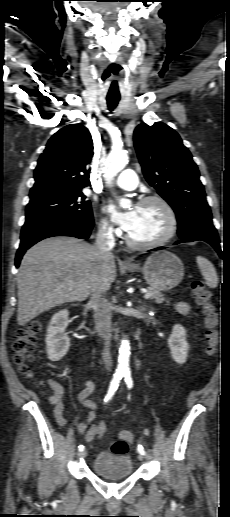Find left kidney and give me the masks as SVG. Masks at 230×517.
<instances>
[{
  "instance_id": "obj_1",
  "label": "left kidney",
  "mask_w": 230,
  "mask_h": 517,
  "mask_svg": "<svg viewBox=\"0 0 230 517\" xmlns=\"http://www.w3.org/2000/svg\"><path fill=\"white\" fill-rule=\"evenodd\" d=\"M168 347L173 360L178 364H184L188 357L189 345L186 341V330L182 325L173 326L172 334L168 338Z\"/></svg>"
}]
</instances>
